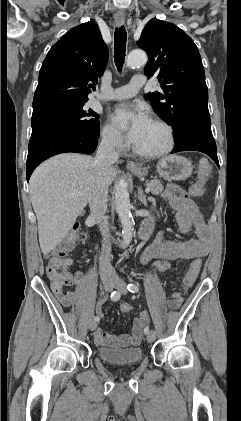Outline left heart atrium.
<instances>
[{"instance_id": "39dd6f15", "label": "left heart atrium", "mask_w": 241, "mask_h": 421, "mask_svg": "<svg viewBox=\"0 0 241 421\" xmlns=\"http://www.w3.org/2000/svg\"><path fill=\"white\" fill-rule=\"evenodd\" d=\"M111 119L118 127L125 124L128 125L126 136L132 143H135L138 140L141 133L150 122L149 117L141 108L127 105L116 108Z\"/></svg>"}]
</instances>
